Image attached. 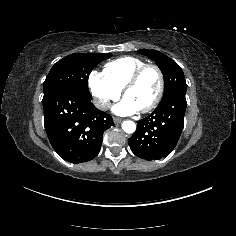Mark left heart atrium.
<instances>
[{"mask_svg": "<svg viewBox=\"0 0 236 236\" xmlns=\"http://www.w3.org/2000/svg\"><path fill=\"white\" fill-rule=\"evenodd\" d=\"M113 112L118 115H130L138 113L139 108L125 98L113 107Z\"/></svg>", "mask_w": 236, "mask_h": 236, "instance_id": "1", "label": "left heart atrium"}]
</instances>
